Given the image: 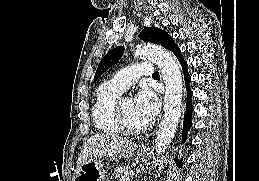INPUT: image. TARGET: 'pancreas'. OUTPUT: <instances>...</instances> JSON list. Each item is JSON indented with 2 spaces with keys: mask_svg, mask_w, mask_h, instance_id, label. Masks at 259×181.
I'll use <instances>...</instances> for the list:
<instances>
[{
  "mask_svg": "<svg viewBox=\"0 0 259 181\" xmlns=\"http://www.w3.org/2000/svg\"><path fill=\"white\" fill-rule=\"evenodd\" d=\"M131 171L130 166H121L119 168H117L116 170H114L113 174H112V179H117L119 181H121L120 178L125 177L127 178L129 176V172Z\"/></svg>",
  "mask_w": 259,
  "mask_h": 181,
  "instance_id": "1",
  "label": "pancreas"
}]
</instances>
